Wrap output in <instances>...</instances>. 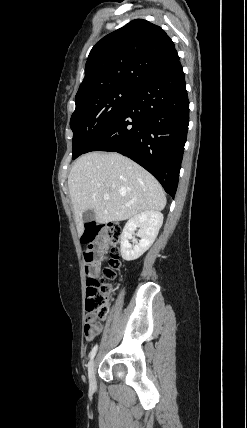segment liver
I'll return each instance as SVG.
<instances>
[{
  "instance_id": "liver-1",
  "label": "liver",
  "mask_w": 247,
  "mask_h": 428,
  "mask_svg": "<svg viewBox=\"0 0 247 428\" xmlns=\"http://www.w3.org/2000/svg\"><path fill=\"white\" fill-rule=\"evenodd\" d=\"M78 233L83 213L95 212L97 223L123 221L145 211H161L166 197L159 182L144 168L118 153L81 156L68 176ZM104 195H109L105 200Z\"/></svg>"
}]
</instances>
